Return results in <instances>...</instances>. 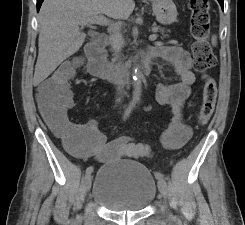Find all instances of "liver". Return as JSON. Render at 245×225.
I'll return each mask as SVG.
<instances>
[{"label": "liver", "instance_id": "liver-1", "mask_svg": "<svg viewBox=\"0 0 245 225\" xmlns=\"http://www.w3.org/2000/svg\"><path fill=\"white\" fill-rule=\"evenodd\" d=\"M134 0H45L38 15L39 53L34 83L46 79L64 60L75 54L85 41L82 21L105 14L126 20Z\"/></svg>", "mask_w": 245, "mask_h": 225}]
</instances>
